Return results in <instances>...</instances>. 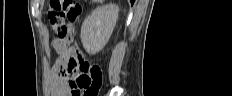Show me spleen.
<instances>
[{
  "mask_svg": "<svg viewBox=\"0 0 232 96\" xmlns=\"http://www.w3.org/2000/svg\"><path fill=\"white\" fill-rule=\"evenodd\" d=\"M93 2H102V0H95V1H93Z\"/></svg>",
  "mask_w": 232,
  "mask_h": 96,
  "instance_id": "obj_1",
  "label": "spleen"
}]
</instances>
